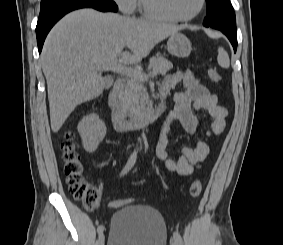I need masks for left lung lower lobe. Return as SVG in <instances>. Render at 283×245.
I'll return each mask as SVG.
<instances>
[{"label":"left lung lower lobe","mask_w":283,"mask_h":245,"mask_svg":"<svg viewBox=\"0 0 283 245\" xmlns=\"http://www.w3.org/2000/svg\"><path fill=\"white\" fill-rule=\"evenodd\" d=\"M220 31L228 37V39L230 40V42H231V44L234 48V51H236V49H237V34L229 33V32L222 31V30H220Z\"/></svg>","instance_id":"obj_1"}]
</instances>
